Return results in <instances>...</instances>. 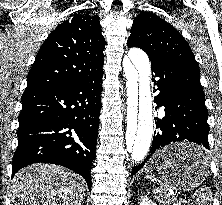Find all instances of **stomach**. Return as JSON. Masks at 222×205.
<instances>
[{
	"label": "stomach",
	"mask_w": 222,
	"mask_h": 205,
	"mask_svg": "<svg viewBox=\"0 0 222 205\" xmlns=\"http://www.w3.org/2000/svg\"><path fill=\"white\" fill-rule=\"evenodd\" d=\"M203 150L199 145L181 142L165 147L149 161L148 176L163 188L175 190H192L199 186L208 176L209 163L191 166L173 162V157L180 151Z\"/></svg>",
	"instance_id": "0dacf381"
}]
</instances>
